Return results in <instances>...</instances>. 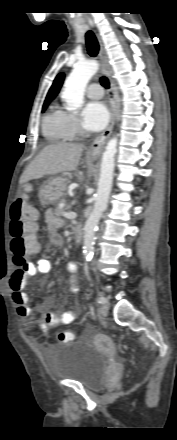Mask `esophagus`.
Instances as JSON below:
<instances>
[{
	"label": "esophagus",
	"instance_id": "obj_1",
	"mask_svg": "<svg viewBox=\"0 0 177 440\" xmlns=\"http://www.w3.org/2000/svg\"><path fill=\"white\" fill-rule=\"evenodd\" d=\"M97 37H98L99 44H100L99 56H100L102 71L111 79V70H110L108 57L105 53L104 46H103V43H102L100 36L97 35ZM108 96H109V102H110L111 118H110V121H109V124H108L106 130L99 137H97L93 141V143L91 144L89 151H88L91 156H96L101 153V151L103 150V148L105 146L107 139L109 138V136L112 132V129H113V126L115 123V114H116L115 98H116V95H115V84L112 79H111V86H110Z\"/></svg>",
	"mask_w": 177,
	"mask_h": 440
}]
</instances>
